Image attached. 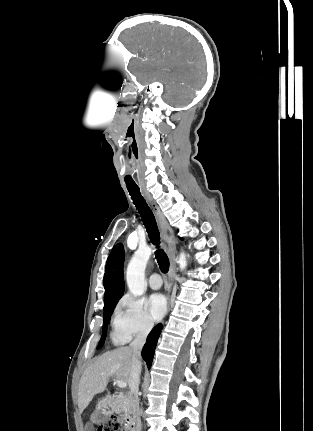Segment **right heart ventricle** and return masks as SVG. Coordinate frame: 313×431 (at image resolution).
I'll return each instance as SVG.
<instances>
[{"mask_svg":"<svg viewBox=\"0 0 313 431\" xmlns=\"http://www.w3.org/2000/svg\"><path fill=\"white\" fill-rule=\"evenodd\" d=\"M114 339L117 341V342H125V341H127V338H125V337H123V336H121V335H118V334H116L115 332H114Z\"/></svg>","mask_w":313,"mask_h":431,"instance_id":"1","label":"right heart ventricle"}]
</instances>
